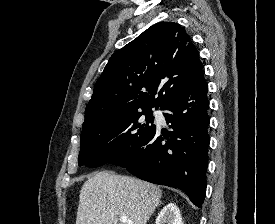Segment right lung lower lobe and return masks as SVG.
<instances>
[{"label": "right lung lower lobe", "mask_w": 275, "mask_h": 224, "mask_svg": "<svg viewBox=\"0 0 275 224\" xmlns=\"http://www.w3.org/2000/svg\"><path fill=\"white\" fill-rule=\"evenodd\" d=\"M203 72L162 110L172 131L155 128L143 141L111 164L125 167L138 178L183 190L198 207L206 193L209 102Z\"/></svg>", "instance_id": "98d812e1"}]
</instances>
